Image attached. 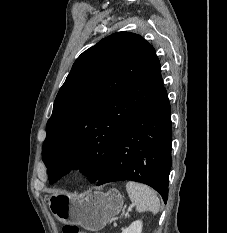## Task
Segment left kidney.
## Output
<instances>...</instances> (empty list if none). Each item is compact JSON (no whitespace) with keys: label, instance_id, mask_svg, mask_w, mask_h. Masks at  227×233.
Returning a JSON list of instances; mask_svg holds the SVG:
<instances>
[{"label":"left kidney","instance_id":"left-kidney-1","mask_svg":"<svg viewBox=\"0 0 227 233\" xmlns=\"http://www.w3.org/2000/svg\"><path fill=\"white\" fill-rule=\"evenodd\" d=\"M122 233H142V221H134L129 227L123 229Z\"/></svg>","mask_w":227,"mask_h":233}]
</instances>
